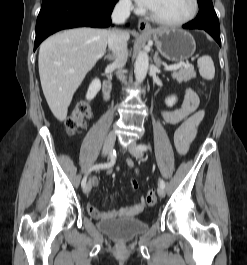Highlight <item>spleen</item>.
<instances>
[{
  "instance_id": "3e777b00",
  "label": "spleen",
  "mask_w": 247,
  "mask_h": 265,
  "mask_svg": "<svg viewBox=\"0 0 247 265\" xmlns=\"http://www.w3.org/2000/svg\"><path fill=\"white\" fill-rule=\"evenodd\" d=\"M197 63L200 75L206 80H212L215 76V67L211 57L202 56Z\"/></svg>"
}]
</instances>
